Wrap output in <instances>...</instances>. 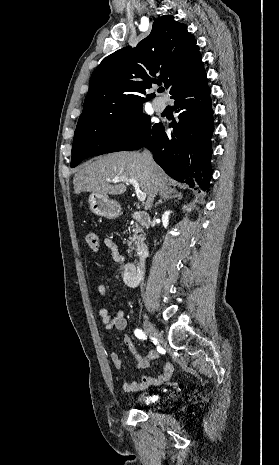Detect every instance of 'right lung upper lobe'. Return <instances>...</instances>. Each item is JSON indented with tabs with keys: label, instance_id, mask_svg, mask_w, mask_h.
Wrapping results in <instances>:
<instances>
[{
	"label": "right lung upper lobe",
	"instance_id": "right-lung-upper-lobe-1",
	"mask_svg": "<svg viewBox=\"0 0 279 465\" xmlns=\"http://www.w3.org/2000/svg\"><path fill=\"white\" fill-rule=\"evenodd\" d=\"M205 75L199 47L185 24L172 15L159 17L136 48L127 46L106 58L93 72L78 125L92 123L108 113L143 106L145 90L163 82L173 95ZM151 96H148L150 99Z\"/></svg>",
	"mask_w": 279,
	"mask_h": 465
}]
</instances>
